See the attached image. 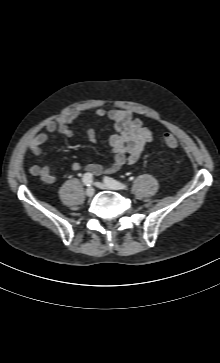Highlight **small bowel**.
Segmentation results:
<instances>
[{"mask_svg": "<svg viewBox=\"0 0 220 363\" xmlns=\"http://www.w3.org/2000/svg\"><path fill=\"white\" fill-rule=\"evenodd\" d=\"M79 115V111H73L58 121L48 122L45 130L30 140L31 153L35 157H41L43 155L42 147L52 133L58 132L62 136L72 137L73 131L69 126ZM94 115L96 117L105 116L114 123V134L109 138V144L114 152V159L107 165L96 163L82 165L79 162H74L72 169L74 171L85 170L91 174L113 173L125 165L136 163L145 146L152 141V131L127 110L112 109L106 111L98 108L94 110ZM86 135L90 142H95L96 135L94 129L88 128ZM29 171L31 174L39 176L45 183L52 184L56 181L54 174L47 166L31 165Z\"/></svg>", "mask_w": 220, "mask_h": 363, "instance_id": "1", "label": "small bowel"}]
</instances>
